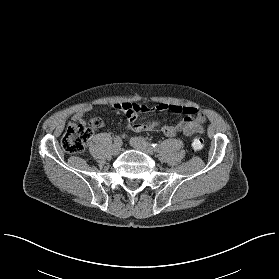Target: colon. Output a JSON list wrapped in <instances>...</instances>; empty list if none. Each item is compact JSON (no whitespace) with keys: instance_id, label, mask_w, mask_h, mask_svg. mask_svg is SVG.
Instances as JSON below:
<instances>
[{"instance_id":"obj_1","label":"colon","mask_w":279,"mask_h":279,"mask_svg":"<svg viewBox=\"0 0 279 279\" xmlns=\"http://www.w3.org/2000/svg\"><path fill=\"white\" fill-rule=\"evenodd\" d=\"M127 109L134 114H139L141 105L128 103ZM100 123L99 118H93L88 123L80 120L69 122L62 137V146L65 151L72 154L82 152ZM191 145L193 149L199 150L204 146V139L200 134H195Z\"/></svg>"}]
</instances>
